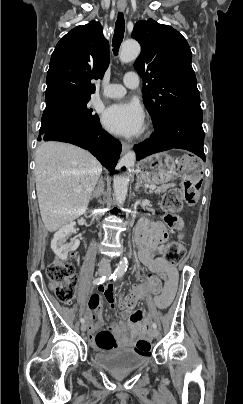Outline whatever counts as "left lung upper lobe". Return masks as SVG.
Segmentation results:
<instances>
[{
  "mask_svg": "<svg viewBox=\"0 0 243 404\" xmlns=\"http://www.w3.org/2000/svg\"><path fill=\"white\" fill-rule=\"evenodd\" d=\"M132 37L141 45L134 63L144 76V104L154 125L179 108L201 109L197 81L186 39L174 28L149 19L138 21Z\"/></svg>",
  "mask_w": 243,
  "mask_h": 404,
  "instance_id": "obj_1",
  "label": "left lung upper lobe"
}]
</instances>
